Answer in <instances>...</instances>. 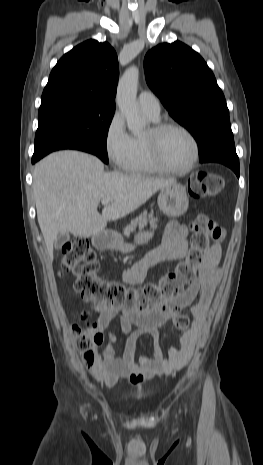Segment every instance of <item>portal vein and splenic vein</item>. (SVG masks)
I'll return each mask as SVG.
<instances>
[{"label":"portal vein and splenic vein","mask_w":263,"mask_h":465,"mask_svg":"<svg viewBox=\"0 0 263 465\" xmlns=\"http://www.w3.org/2000/svg\"><path fill=\"white\" fill-rule=\"evenodd\" d=\"M113 201V198H105L101 200L102 205H108Z\"/></svg>","instance_id":"portal-vein-and-splenic-vein-1"}]
</instances>
